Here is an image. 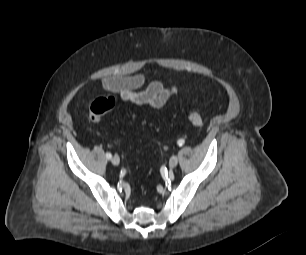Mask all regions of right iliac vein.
Returning a JSON list of instances; mask_svg holds the SVG:
<instances>
[{
    "label": "right iliac vein",
    "mask_w": 306,
    "mask_h": 255,
    "mask_svg": "<svg viewBox=\"0 0 306 255\" xmlns=\"http://www.w3.org/2000/svg\"><path fill=\"white\" fill-rule=\"evenodd\" d=\"M112 163H113L114 165H116V166L120 164V158H119L118 155H114V156H113V158H112Z\"/></svg>",
    "instance_id": "obj_1"
}]
</instances>
